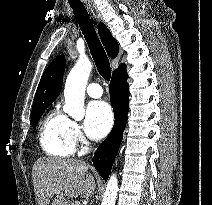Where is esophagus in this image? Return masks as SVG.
I'll return each instance as SVG.
<instances>
[{
  "mask_svg": "<svg viewBox=\"0 0 212 205\" xmlns=\"http://www.w3.org/2000/svg\"><path fill=\"white\" fill-rule=\"evenodd\" d=\"M89 9L93 13V8L91 7V5H89Z\"/></svg>",
  "mask_w": 212,
  "mask_h": 205,
  "instance_id": "esophagus-1",
  "label": "esophagus"
}]
</instances>
